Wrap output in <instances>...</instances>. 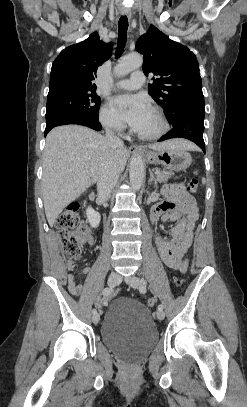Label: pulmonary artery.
I'll return each instance as SVG.
<instances>
[{"mask_svg": "<svg viewBox=\"0 0 247 407\" xmlns=\"http://www.w3.org/2000/svg\"><path fill=\"white\" fill-rule=\"evenodd\" d=\"M144 81L145 76L143 72L137 71L134 72L129 78L118 81L117 86L126 90H135L141 87Z\"/></svg>", "mask_w": 247, "mask_h": 407, "instance_id": "e3ab8cb5", "label": "pulmonary artery"}]
</instances>
